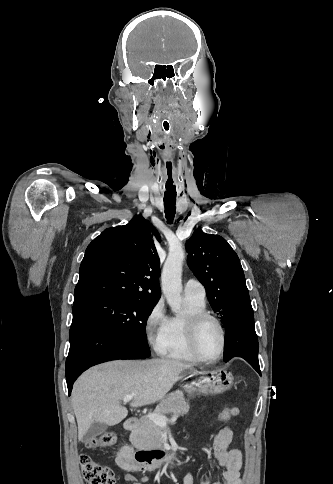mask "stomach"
I'll list each match as a JSON object with an SVG mask.
<instances>
[{"mask_svg": "<svg viewBox=\"0 0 333 484\" xmlns=\"http://www.w3.org/2000/svg\"><path fill=\"white\" fill-rule=\"evenodd\" d=\"M196 376V380L186 384L184 391L188 395H196L198 393L218 395L229 390L234 381V377L226 368H220L208 372H192Z\"/></svg>", "mask_w": 333, "mask_h": 484, "instance_id": "obj_1", "label": "stomach"}]
</instances>
